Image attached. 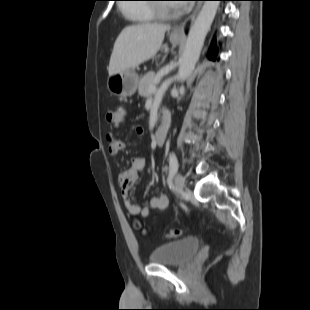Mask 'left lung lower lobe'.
<instances>
[{
	"label": "left lung lower lobe",
	"mask_w": 310,
	"mask_h": 310,
	"mask_svg": "<svg viewBox=\"0 0 310 310\" xmlns=\"http://www.w3.org/2000/svg\"><path fill=\"white\" fill-rule=\"evenodd\" d=\"M221 1H226V0H221ZM216 57H217V49L211 47L208 52V58L211 60H216Z\"/></svg>",
	"instance_id": "left-lung-lower-lobe-1"
}]
</instances>
